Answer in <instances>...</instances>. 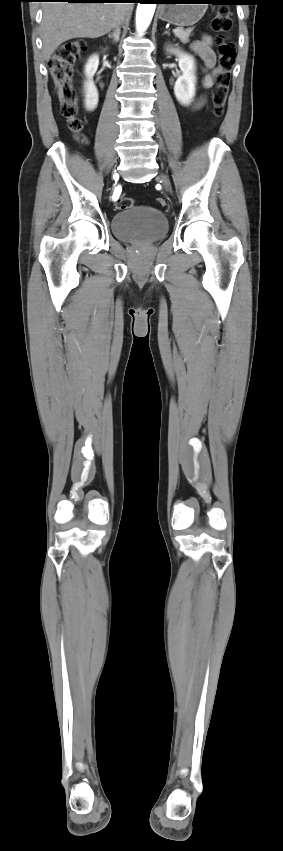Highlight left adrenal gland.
Masks as SVG:
<instances>
[{
	"instance_id": "1",
	"label": "left adrenal gland",
	"mask_w": 283,
	"mask_h": 851,
	"mask_svg": "<svg viewBox=\"0 0 283 851\" xmlns=\"http://www.w3.org/2000/svg\"><path fill=\"white\" fill-rule=\"evenodd\" d=\"M164 34H168V35H169V32H168V31H164Z\"/></svg>"
}]
</instances>
